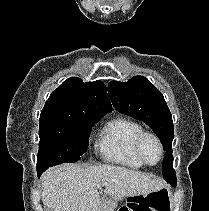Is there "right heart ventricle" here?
<instances>
[{
  "label": "right heart ventricle",
  "instance_id": "e07e8e85",
  "mask_svg": "<svg viewBox=\"0 0 209 211\" xmlns=\"http://www.w3.org/2000/svg\"><path fill=\"white\" fill-rule=\"evenodd\" d=\"M143 128L136 121L116 116L101 128L96 149L102 158L114 164L138 169L144 164L135 152V142Z\"/></svg>",
  "mask_w": 209,
  "mask_h": 211
}]
</instances>
